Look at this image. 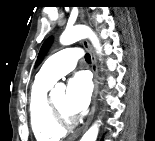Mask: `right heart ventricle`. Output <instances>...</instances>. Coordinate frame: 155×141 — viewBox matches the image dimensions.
Returning a JSON list of instances; mask_svg holds the SVG:
<instances>
[{
  "mask_svg": "<svg viewBox=\"0 0 155 141\" xmlns=\"http://www.w3.org/2000/svg\"><path fill=\"white\" fill-rule=\"evenodd\" d=\"M54 82L36 78L29 96V115L33 134L38 141H57L65 134L51 120L47 105L48 91Z\"/></svg>",
  "mask_w": 155,
  "mask_h": 141,
  "instance_id": "e07e8e85",
  "label": "right heart ventricle"
}]
</instances>
